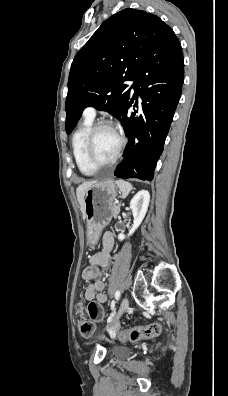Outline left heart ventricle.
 <instances>
[{
    "mask_svg": "<svg viewBox=\"0 0 228 396\" xmlns=\"http://www.w3.org/2000/svg\"><path fill=\"white\" fill-rule=\"evenodd\" d=\"M119 146V138L111 128L100 129L93 141L92 157L99 164L110 161Z\"/></svg>",
    "mask_w": 228,
    "mask_h": 396,
    "instance_id": "obj_1",
    "label": "left heart ventricle"
}]
</instances>
